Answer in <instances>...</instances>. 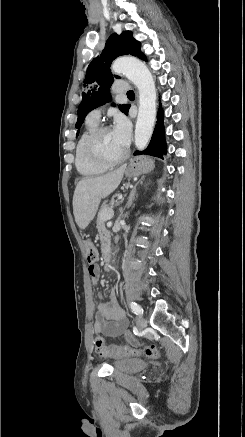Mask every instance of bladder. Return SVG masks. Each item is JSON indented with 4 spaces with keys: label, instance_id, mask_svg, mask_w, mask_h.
I'll list each match as a JSON object with an SVG mask.
<instances>
[{
    "label": "bladder",
    "instance_id": "1",
    "mask_svg": "<svg viewBox=\"0 0 245 437\" xmlns=\"http://www.w3.org/2000/svg\"><path fill=\"white\" fill-rule=\"evenodd\" d=\"M113 364L119 372H135L145 366V362L137 358L116 359Z\"/></svg>",
    "mask_w": 245,
    "mask_h": 437
}]
</instances>
